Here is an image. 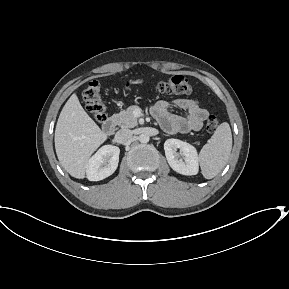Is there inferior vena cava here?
I'll return each instance as SVG.
<instances>
[{"label": "inferior vena cava", "mask_w": 289, "mask_h": 289, "mask_svg": "<svg viewBox=\"0 0 289 289\" xmlns=\"http://www.w3.org/2000/svg\"><path fill=\"white\" fill-rule=\"evenodd\" d=\"M133 137V132L130 129H121L119 130L116 135L115 139L118 143L124 144L129 142Z\"/></svg>", "instance_id": "inferior-vena-cava-1"}]
</instances>
